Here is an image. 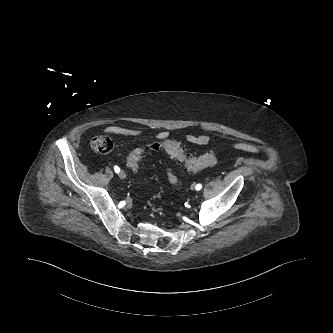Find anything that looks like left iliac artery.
Listing matches in <instances>:
<instances>
[{"label":"left iliac artery","instance_id":"1","mask_svg":"<svg viewBox=\"0 0 333 333\" xmlns=\"http://www.w3.org/2000/svg\"><path fill=\"white\" fill-rule=\"evenodd\" d=\"M201 188H202V185H201V184H197V185L195 186V189H196L197 191L201 190Z\"/></svg>","mask_w":333,"mask_h":333}]
</instances>
